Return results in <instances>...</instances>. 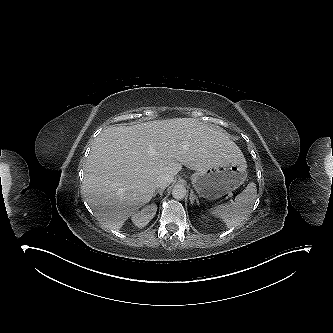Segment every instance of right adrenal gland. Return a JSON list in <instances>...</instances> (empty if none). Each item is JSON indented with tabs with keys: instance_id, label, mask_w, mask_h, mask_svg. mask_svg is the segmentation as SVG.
Returning a JSON list of instances; mask_svg holds the SVG:
<instances>
[{
	"instance_id": "obj_1",
	"label": "right adrenal gland",
	"mask_w": 333,
	"mask_h": 333,
	"mask_svg": "<svg viewBox=\"0 0 333 333\" xmlns=\"http://www.w3.org/2000/svg\"><path fill=\"white\" fill-rule=\"evenodd\" d=\"M164 190H165V188L158 189V190L154 193L153 197H156L157 194H159L160 197H162V196H163V192H164Z\"/></svg>"
}]
</instances>
